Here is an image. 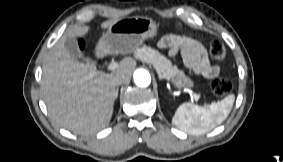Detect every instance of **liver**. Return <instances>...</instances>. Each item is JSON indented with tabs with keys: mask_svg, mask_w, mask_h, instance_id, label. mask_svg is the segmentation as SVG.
Instances as JSON below:
<instances>
[{
	"mask_svg": "<svg viewBox=\"0 0 283 162\" xmlns=\"http://www.w3.org/2000/svg\"><path fill=\"white\" fill-rule=\"evenodd\" d=\"M118 19L105 21L102 29L110 28ZM88 26L69 28L44 58L41 92L50 118L60 127L75 134L98 132L110 123L114 111L116 86L113 79L123 76L129 81L136 66L124 59L111 73L98 71L95 64L77 61L65 49L68 37H81ZM109 48H96L103 53Z\"/></svg>",
	"mask_w": 283,
	"mask_h": 162,
	"instance_id": "1",
	"label": "liver"
}]
</instances>
